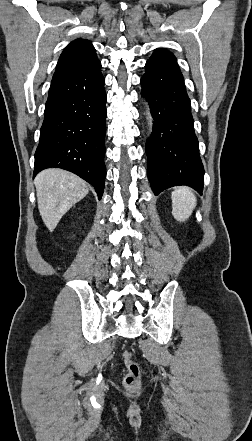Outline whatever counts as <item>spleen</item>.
<instances>
[{
  "label": "spleen",
  "instance_id": "1",
  "mask_svg": "<svg viewBox=\"0 0 252 441\" xmlns=\"http://www.w3.org/2000/svg\"><path fill=\"white\" fill-rule=\"evenodd\" d=\"M172 214L179 222L186 221L196 206V197L192 190L182 186L172 192Z\"/></svg>",
  "mask_w": 252,
  "mask_h": 441
}]
</instances>
